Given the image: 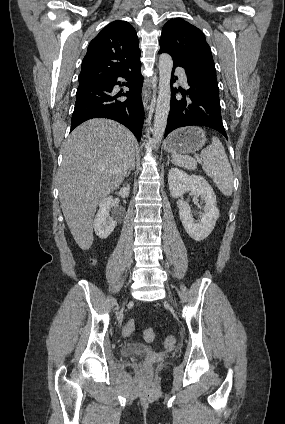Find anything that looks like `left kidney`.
<instances>
[{
    "label": "left kidney",
    "mask_w": 285,
    "mask_h": 424,
    "mask_svg": "<svg viewBox=\"0 0 285 424\" xmlns=\"http://www.w3.org/2000/svg\"><path fill=\"white\" fill-rule=\"evenodd\" d=\"M170 194L180 198L186 191H191L194 197L204 200V213L200 220L194 221L190 206L184 200H178L179 216L187 234L195 241H202L213 231L219 218L216 196L213 188L205 178L199 175H189L178 168H171L168 174Z\"/></svg>",
    "instance_id": "1"
}]
</instances>
